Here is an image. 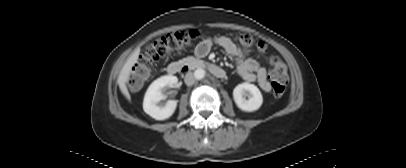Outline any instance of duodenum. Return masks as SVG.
<instances>
[{
    "instance_id": "obj_1",
    "label": "duodenum",
    "mask_w": 406,
    "mask_h": 168,
    "mask_svg": "<svg viewBox=\"0 0 406 168\" xmlns=\"http://www.w3.org/2000/svg\"><path fill=\"white\" fill-rule=\"evenodd\" d=\"M192 66L196 68H206L210 70L212 74L219 79H223L226 76V72L220 66L213 64L211 62L197 61L194 62ZM190 68L191 65L189 64L173 62L168 65L167 72L171 75H175L181 72L186 73L190 70Z\"/></svg>"
}]
</instances>
